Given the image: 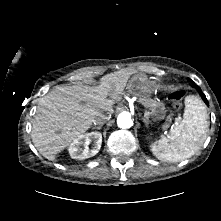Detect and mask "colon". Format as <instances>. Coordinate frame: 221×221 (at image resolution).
<instances>
[{
    "label": "colon",
    "instance_id": "colon-1",
    "mask_svg": "<svg viewBox=\"0 0 221 221\" xmlns=\"http://www.w3.org/2000/svg\"><path fill=\"white\" fill-rule=\"evenodd\" d=\"M183 91H174L170 94L169 99L172 101L174 107L179 110L182 107Z\"/></svg>",
    "mask_w": 221,
    "mask_h": 221
}]
</instances>
